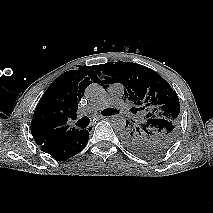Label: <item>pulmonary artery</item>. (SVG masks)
I'll return each mask as SVG.
<instances>
[{
	"instance_id": "obj_1",
	"label": "pulmonary artery",
	"mask_w": 213,
	"mask_h": 213,
	"mask_svg": "<svg viewBox=\"0 0 213 213\" xmlns=\"http://www.w3.org/2000/svg\"><path fill=\"white\" fill-rule=\"evenodd\" d=\"M123 93L124 85L120 83L109 85L105 97L99 102L86 107L83 111V115L99 111L109 106H113L117 109H122L124 107V101L122 100Z\"/></svg>"
}]
</instances>
